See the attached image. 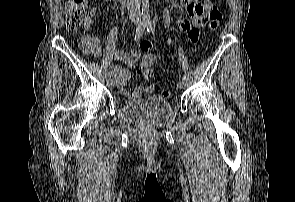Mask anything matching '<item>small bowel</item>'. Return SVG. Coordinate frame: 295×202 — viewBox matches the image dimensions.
<instances>
[{"label": "small bowel", "mask_w": 295, "mask_h": 202, "mask_svg": "<svg viewBox=\"0 0 295 202\" xmlns=\"http://www.w3.org/2000/svg\"><path fill=\"white\" fill-rule=\"evenodd\" d=\"M180 5L186 9L189 17L179 22V31L186 33L191 41H195L198 37L199 30L206 25L209 19L210 10L213 8V2L211 0H181ZM168 13L169 11L165 10L164 18L166 21L168 18ZM97 14L98 8L92 7L90 10V17L86 18V28H90L92 26V18ZM81 42L90 45V49L85 50L86 53L93 56L101 55L102 50L97 37L85 36L82 38ZM151 46V42L145 41L140 45L139 48L134 49L131 53H127L122 50H115L112 52V56L115 59L124 62L127 67H130L140 58L141 51L148 50ZM111 71L116 78V83L120 93H122L125 97L129 99H139L143 95L153 92V90H144V86L140 85L135 86L134 88H128L127 82L130 77L128 69L121 68L118 65H112ZM137 76L142 77V79H150L152 77V75L145 74L144 71H138Z\"/></svg>", "instance_id": "c3829d8e"}]
</instances>
